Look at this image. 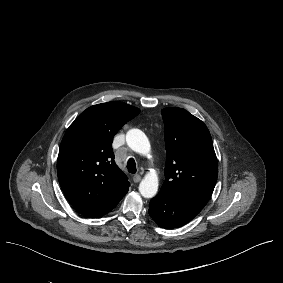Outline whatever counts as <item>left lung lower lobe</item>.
<instances>
[{
    "instance_id": "obj_1",
    "label": "left lung lower lobe",
    "mask_w": 283,
    "mask_h": 283,
    "mask_svg": "<svg viewBox=\"0 0 283 283\" xmlns=\"http://www.w3.org/2000/svg\"><path fill=\"white\" fill-rule=\"evenodd\" d=\"M204 205L159 192L151 199L149 214L158 226L173 229L190 222Z\"/></svg>"
}]
</instances>
